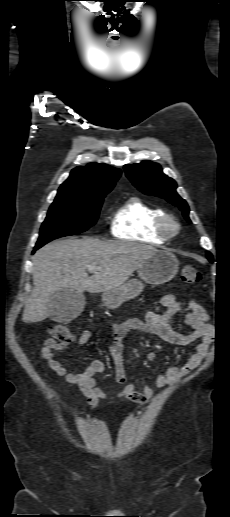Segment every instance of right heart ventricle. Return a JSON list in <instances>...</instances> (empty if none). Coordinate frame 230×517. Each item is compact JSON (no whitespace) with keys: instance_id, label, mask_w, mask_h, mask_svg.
Wrapping results in <instances>:
<instances>
[{"instance_id":"right-heart-ventricle-1","label":"right heart ventricle","mask_w":230,"mask_h":517,"mask_svg":"<svg viewBox=\"0 0 230 517\" xmlns=\"http://www.w3.org/2000/svg\"><path fill=\"white\" fill-rule=\"evenodd\" d=\"M163 215L165 212L160 207L139 197H130L114 212L111 233L118 239L162 244L167 240L158 228Z\"/></svg>"}]
</instances>
